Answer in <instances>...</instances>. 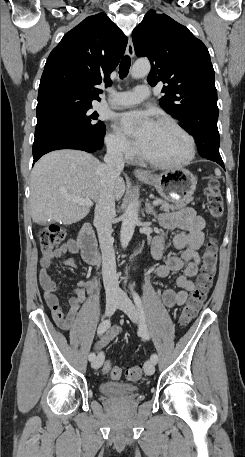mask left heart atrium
<instances>
[{"mask_svg":"<svg viewBox=\"0 0 245 457\" xmlns=\"http://www.w3.org/2000/svg\"><path fill=\"white\" fill-rule=\"evenodd\" d=\"M120 128L134 139L137 148L142 149L151 139L157 125L144 111H130L118 118Z\"/></svg>","mask_w":245,"mask_h":457,"instance_id":"obj_1","label":"left heart atrium"}]
</instances>
